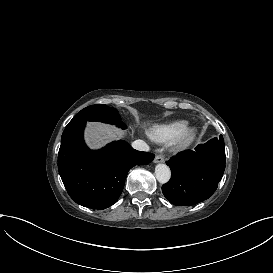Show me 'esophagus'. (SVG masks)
<instances>
[{
  "label": "esophagus",
  "instance_id": "obj_1",
  "mask_svg": "<svg viewBox=\"0 0 273 273\" xmlns=\"http://www.w3.org/2000/svg\"><path fill=\"white\" fill-rule=\"evenodd\" d=\"M164 162V156L163 155H156L154 158V163H162Z\"/></svg>",
  "mask_w": 273,
  "mask_h": 273
}]
</instances>
